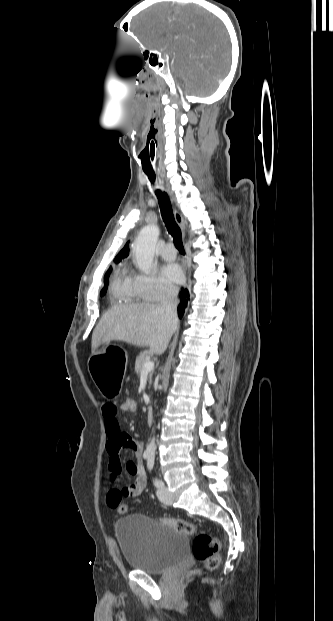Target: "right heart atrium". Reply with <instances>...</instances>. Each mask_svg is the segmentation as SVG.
<instances>
[{"label":"right heart atrium","instance_id":"obj_1","mask_svg":"<svg viewBox=\"0 0 333 621\" xmlns=\"http://www.w3.org/2000/svg\"><path fill=\"white\" fill-rule=\"evenodd\" d=\"M134 287L140 298L147 302H159L172 298L176 289L165 283L156 273H140L133 277Z\"/></svg>","mask_w":333,"mask_h":621}]
</instances>
